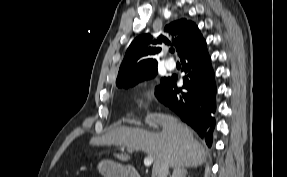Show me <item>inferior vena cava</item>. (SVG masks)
<instances>
[{
  "label": "inferior vena cava",
  "instance_id": "obj_1",
  "mask_svg": "<svg viewBox=\"0 0 287 177\" xmlns=\"http://www.w3.org/2000/svg\"><path fill=\"white\" fill-rule=\"evenodd\" d=\"M169 171V166L165 162L162 164L161 168L158 170L156 177H167Z\"/></svg>",
  "mask_w": 287,
  "mask_h": 177
}]
</instances>
